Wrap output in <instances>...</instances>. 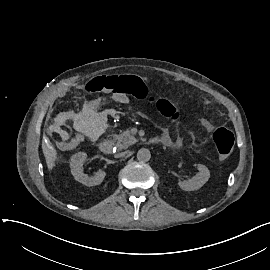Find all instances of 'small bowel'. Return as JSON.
Wrapping results in <instances>:
<instances>
[{"label": "small bowel", "instance_id": "1", "mask_svg": "<svg viewBox=\"0 0 270 270\" xmlns=\"http://www.w3.org/2000/svg\"><path fill=\"white\" fill-rule=\"evenodd\" d=\"M112 99L119 103V104H128L129 103V98L124 95V94H114L112 96ZM202 125L207 129L210 130L211 129V124L206 121L203 120L202 121ZM79 137L74 138L73 140H69V139H64L58 142V148L63 150V151H70L74 148V144L78 141ZM160 139L161 142H163L165 145L168 146H174V147H182L184 145V139L179 138V137H173L171 136L166 130H163L160 134Z\"/></svg>", "mask_w": 270, "mask_h": 270}]
</instances>
